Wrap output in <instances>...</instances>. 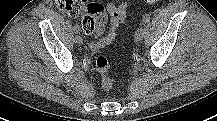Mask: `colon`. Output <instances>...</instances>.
I'll use <instances>...</instances> for the list:
<instances>
[{
	"label": "colon",
	"mask_w": 217,
	"mask_h": 121,
	"mask_svg": "<svg viewBox=\"0 0 217 121\" xmlns=\"http://www.w3.org/2000/svg\"><path fill=\"white\" fill-rule=\"evenodd\" d=\"M159 0H145L148 4H155ZM56 7L69 16H77L81 12L84 16L81 20V27L86 34L98 33L104 30L107 21V14L102 4L88 2V0H55ZM96 69L101 77V86L104 90H110L113 80L110 76V63L104 56L97 57Z\"/></svg>",
	"instance_id": "colon-1"
}]
</instances>
